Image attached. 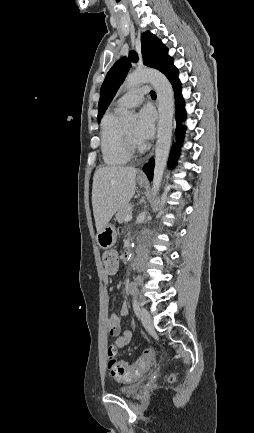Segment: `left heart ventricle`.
<instances>
[{"label":"left heart ventricle","instance_id":"left-heart-ventricle-1","mask_svg":"<svg viewBox=\"0 0 254 433\" xmlns=\"http://www.w3.org/2000/svg\"><path fill=\"white\" fill-rule=\"evenodd\" d=\"M124 131L126 132V134L130 137V139L139 145V143L137 142L135 136H134V130H135V125L134 124H130L127 125L125 127H123Z\"/></svg>","mask_w":254,"mask_h":433}]
</instances>
